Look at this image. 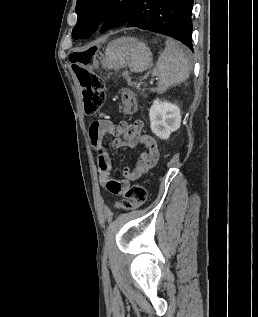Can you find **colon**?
Segmentation results:
<instances>
[{
	"label": "colon",
	"instance_id": "obj_1",
	"mask_svg": "<svg viewBox=\"0 0 258 317\" xmlns=\"http://www.w3.org/2000/svg\"><path fill=\"white\" fill-rule=\"evenodd\" d=\"M97 49L94 47L74 50L69 61L82 88L84 109L87 114L102 108L105 102V87L102 78L93 71ZM123 112L132 115L136 111V99L132 91L124 89L120 95ZM146 200V190L141 185H133L124 193L117 204L119 209L130 211L140 207Z\"/></svg>",
	"mask_w": 258,
	"mask_h": 317
}]
</instances>
